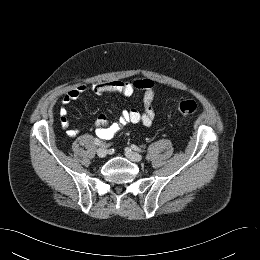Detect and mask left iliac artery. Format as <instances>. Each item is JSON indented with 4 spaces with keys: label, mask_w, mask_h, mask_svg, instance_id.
<instances>
[{
    "label": "left iliac artery",
    "mask_w": 260,
    "mask_h": 260,
    "mask_svg": "<svg viewBox=\"0 0 260 260\" xmlns=\"http://www.w3.org/2000/svg\"><path fill=\"white\" fill-rule=\"evenodd\" d=\"M132 149L138 152H145L144 150L140 149L139 147H137L136 145H131Z\"/></svg>",
    "instance_id": "obj_1"
}]
</instances>
